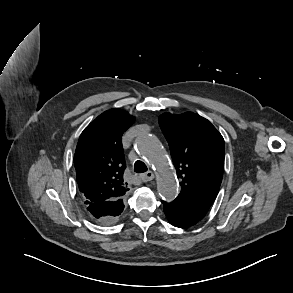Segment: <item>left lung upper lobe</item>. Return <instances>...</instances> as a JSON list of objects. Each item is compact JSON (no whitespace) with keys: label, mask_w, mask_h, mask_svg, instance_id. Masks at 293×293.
<instances>
[{"label":"left lung upper lobe","mask_w":293,"mask_h":293,"mask_svg":"<svg viewBox=\"0 0 293 293\" xmlns=\"http://www.w3.org/2000/svg\"><path fill=\"white\" fill-rule=\"evenodd\" d=\"M159 124L166 137L182 187L177 199L207 212L217 197L224 171L225 143L205 118L186 112L164 113Z\"/></svg>","instance_id":"left-lung-upper-lobe-1"}]
</instances>
